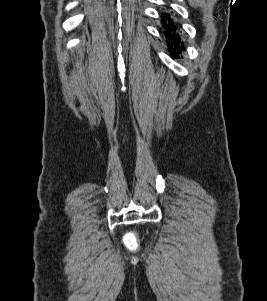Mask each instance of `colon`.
I'll return each mask as SVG.
<instances>
[{"label": "colon", "mask_w": 267, "mask_h": 301, "mask_svg": "<svg viewBox=\"0 0 267 301\" xmlns=\"http://www.w3.org/2000/svg\"><path fill=\"white\" fill-rule=\"evenodd\" d=\"M126 244H127L129 247L133 248V247L135 246V244H136L135 238H134L133 236H128V237L126 238Z\"/></svg>", "instance_id": "1"}]
</instances>
